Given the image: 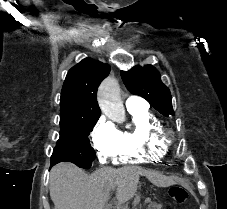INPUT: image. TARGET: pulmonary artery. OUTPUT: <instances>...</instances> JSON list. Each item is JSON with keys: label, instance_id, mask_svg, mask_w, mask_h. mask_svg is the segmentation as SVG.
<instances>
[{"label": "pulmonary artery", "instance_id": "obj_1", "mask_svg": "<svg viewBox=\"0 0 227 209\" xmlns=\"http://www.w3.org/2000/svg\"><path fill=\"white\" fill-rule=\"evenodd\" d=\"M149 100H141V95H128V100L126 101L127 107H132L134 105H149Z\"/></svg>", "mask_w": 227, "mask_h": 209}]
</instances>
